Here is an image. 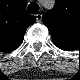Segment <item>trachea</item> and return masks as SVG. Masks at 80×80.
<instances>
[{"label": "trachea", "mask_w": 80, "mask_h": 80, "mask_svg": "<svg viewBox=\"0 0 80 80\" xmlns=\"http://www.w3.org/2000/svg\"><path fill=\"white\" fill-rule=\"evenodd\" d=\"M27 10L30 14H36L39 11V5L37 3H30Z\"/></svg>", "instance_id": "obj_1"}]
</instances>
